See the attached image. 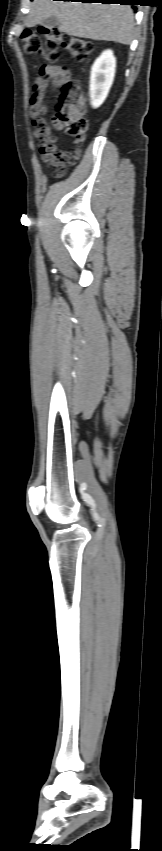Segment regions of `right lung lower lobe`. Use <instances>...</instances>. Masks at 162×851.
Returning a JSON list of instances; mask_svg holds the SVG:
<instances>
[{
    "label": "right lung lower lobe",
    "instance_id": "98d812e1",
    "mask_svg": "<svg viewBox=\"0 0 162 851\" xmlns=\"http://www.w3.org/2000/svg\"><path fill=\"white\" fill-rule=\"evenodd\" d=\"M63 1H75V0H63ZM81 2H98L103 4H116L119 3L121 5H134L138 0H78Z\"/></svg>",
    "mask_w": 162,
    "mask_h": 851
}]
</instances>
